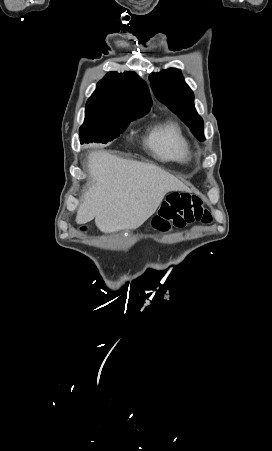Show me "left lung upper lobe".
Wrapping results in <instances>:
<instances>
[{"label":"left lung upper lobe","mask_w":272,"mask_h":451,"mask_svg":"<svg viewBox=\"0 0 272 451\" xmlns=\"http://www.w3.org/2000/svg\"><path fill=\"white\" fill-rule=\"evenodd\" d=\"M157 99L176 113L200 140H204L203 120L194 107V94L179 69L170 68L149 76Z\"/></svg>","instance_id":"obj_1"}]
</instances>
